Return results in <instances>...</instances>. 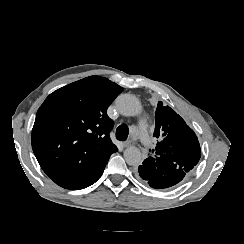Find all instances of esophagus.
Instances as JSON below:
<instances>
[{"label":"esophagus","mask_w":244,"mask_h":244,"mask_svg":"<svg viewBox=\"0 0 244 244\" xmlns=\"http://www.w3.org/2000/svg\"><path fill=\"white\" fill-rule=\"evenodd\" d=\"M133 144V142L131 140H128V141H125L123 142V147L126 148V147H129Z\"/></svg>","instance_id":"esophagus-1"}]
</instances>
